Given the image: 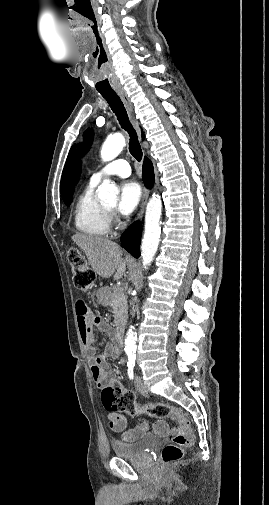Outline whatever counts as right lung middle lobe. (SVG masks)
Masks as SVG:
<instances>
[{
  "label": "right lung middle lobe",
  "instance_id": "obj_1",
  "mask_svg": "<svg viewBox=\"0 0 269 505\" xmlns=\"http://www.w3.org/2000/svg\"><path fill=\"white\" fill-rule=\"evenodd\" d=\"M64 202H65L66 205L69 206L71 204V202H72V198H70L68 200H64Z\"/></svg>",
  "mask_w": 269,
  "mask_h": 505
}]
</instances>
